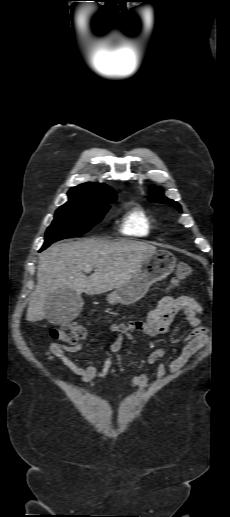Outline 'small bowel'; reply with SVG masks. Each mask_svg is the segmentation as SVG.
I'll return each instance as SVG.
<instances>
[{
  "instance_id": "1",
  "label": "small bowel",
  "mask_w": 230,
  "mask_h": 517,
  "mask_svg": "<svg viewBox=\"0 0 230 517\" xmlns=\"http://www.w3.org/2000/svg\"><path fill=\"white\" fill-rule=\"evenodd\" d=\"M181 313L186 320L191 332L184 339L183 347L180 353L171 361L168 368L160 362L166 354V349H157L149 353L147 357L148 364H158L156 376L158 379L164 378L167 372H178L191 358L198 357L208 342L207 330L202 326L199 314L201 306L190 296H164L157 306L147 313L144 320H130L125 323H112L109 327L110 331L115 334L116 339L111 344L110 350L115 355L118 364V370H122L121 359L119 356L122 348V341L125 337H131L134 332H143L149 336L166 335L169 333V327L175 315ZM82 348V344L75 346H64L58 343H51L46 357L49 361L60 360L68 369L75 372L80 379L93 385L98 378L106 376L114 365L112 358H106L101 368L96 365L81 367L76 364L74 354ZM131 387L147 388L148 381L145 373L136 374L130 383Z\"/></svg>"
}]
</instances>
